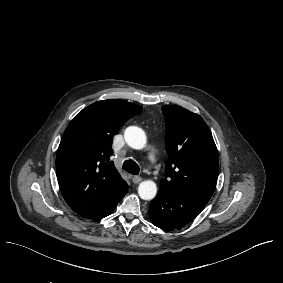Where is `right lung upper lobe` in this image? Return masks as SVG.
I'll return each mask as SVG.
<instances>
[{
	"label": "right lung upper lobe",
	"instance_id": "1",
	"mask_svg": "<svg viewBox=\"0 0 283 283\" xmlns=\"http://www.w3.org/2000/svg\"><path fill=\"white\" fill-rule=\"evenodd\" d=\"M142 109L119 99L93 103L78 113L65 130L56 157L61 191L79 214L97 219L127 193L110 156L120 127Z\"/></svg>",
	"mask_w": 283,
	"mask_h": 283
}]
</instances>
